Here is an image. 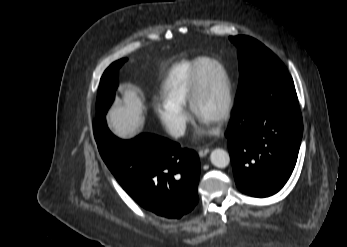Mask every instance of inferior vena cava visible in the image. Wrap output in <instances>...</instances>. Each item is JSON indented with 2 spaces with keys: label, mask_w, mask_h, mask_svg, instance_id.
Here are the masks:
<instances>
[{
  "label": "inferior vena cava",
  "mask_w": 347,
  "mask_h": 247,
  "mask_svg": "<svg viewBox=\"0 0 347 247\" xmlns=\"http://www.w3.org/2000/svg\"><path fill=\"white\" fill-rule=\"evenodd\" d=\"M186 124L183 122L172 123L168 126L169 133L178 138L185 134Z\"/></svg>",
  "instance_id": "obj_1"
}]
</instances>
